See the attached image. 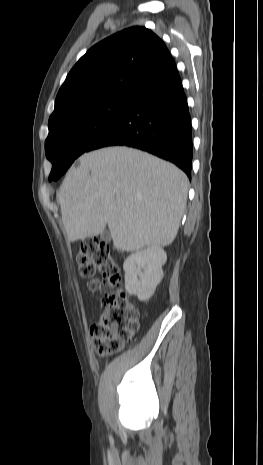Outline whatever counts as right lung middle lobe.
Instances as JSON below:
<instances>
[{
    "label": "right lung middle lobe",
    "instance_id": "obj_1",
    "mask_svg": "<svg viewBox=\"0 0 263 465\" xmlns=\"http://www.w3.org/2000/svg\"><path fill=\"white\" fill-rule=\"evenodd\" d=\"M133 97H107L75 106L49 120L46 157L52 162L49 180H57L73 161L106 133L128 110Z\"/></svg>",
    "mask_w": 263,
    "mask_h": 465
}]
</instances>
